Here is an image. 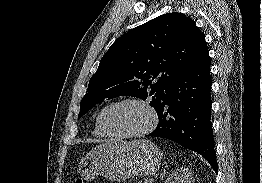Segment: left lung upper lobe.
<instances>
[{
	"label": "left lung upper lobe",
	"mask_w": 262,
	"mask_h": 183,
	"mask_svg": "<svg viewBox=\"0 0 262 183\" xmlns=\"http://www.w3.org/2000/svg\"><path fill=\"white\" fill-rule=\"evenodd\" d=\"M206 48L204 34L181 13L163 14L132 29L102 57L78 118L118 96L148 98L157 112L176 77Z\"/></svg>",
	"instance_id": "5c2ea615"
}]
</instances>
